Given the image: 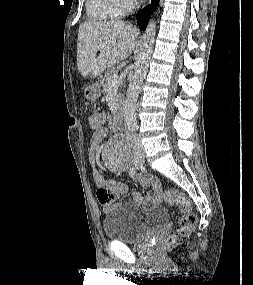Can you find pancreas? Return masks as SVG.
Wrapping results in <instances>:
<instances>
[{"instance_id": "cf45deb5", "label": "pancreas", "mask_w": 253, "mask_h": 285, "mask_svg": "<svg viewBox=\"0 0 253 285\" xmlns=\"http://www.w3.org/2000/svg\"><path fill=\"white\" fill-rule=\"evenodd\" d=\"M115 74H117V69L112 68L106 71L104 77L100 80V87H102L103 93H106L109 88V79H111ZM118 85V84H117ZM121 95H117V99H120Z\"/></svg>"}]
</instances>
